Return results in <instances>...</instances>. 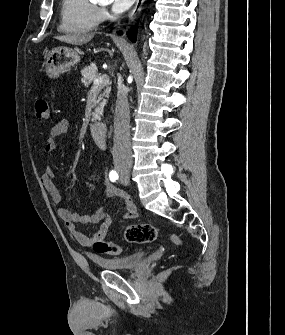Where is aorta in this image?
Wrapping results in <instances>:
<instances>
[{
    "mask_svg": "<svg viewBox=\"0 0 285 335\" xmlns=\"http://www.w3.org/2000/svg\"><path fill=\"white\" fill-rule=\"evenodd\" d=\"M100 133L101 134H114L115 128L114 127H101Z\"/></svg>",
    "mask_w": 285,
    "mask_h": 335,
    "instance_id": "aorta-1",
    "label": "aorta"
}]
</instances>
